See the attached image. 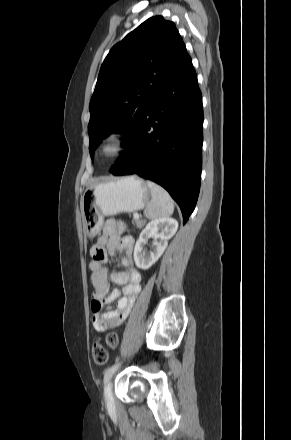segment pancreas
I'll return each mask as SVG.
<instances>
[{
    "label": "pancreas",
    "mask_w": 291,
    "mask_h": 440,
    "mask_svg": "<svg viewBox=\"0 0 291 440\" xmlns=\"http://www.w3.org/2000/svg\"><path fill=\"white\" fill-rule=\"evenodd\" d=\"M133 224L138 228H142L145 225V221L142 219H133Z\"/></svg>",
    "instance_id": "pancreas-1"
}]
</instances>
